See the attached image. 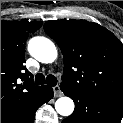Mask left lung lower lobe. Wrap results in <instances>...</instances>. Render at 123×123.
I'll list each match as a JSON object with an SVG mask.
<instances>
[{"label":"left lung lower lobe","instance_id":"1","mask_svg":"<svg viewBox=\"0 0 123 123\" xmlns=\"http://www.w3.org/2000/svg\"><path fill=\"white\" fill-rule=\"evenodd\" d=\"M61 90L75 102V110L62 123H119L123 117V106L111 101L96 99L71 90L62 84Z\"/></svg>","mask_w":123,"mask_h":123}]
</instances>
